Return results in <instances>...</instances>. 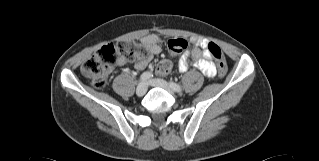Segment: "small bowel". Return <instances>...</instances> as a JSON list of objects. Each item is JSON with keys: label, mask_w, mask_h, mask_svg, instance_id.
Masks as SVG:
<instances>
[{"label": "small bowel", "mask_w": 319, "mask_h": 161, "mask_svg": "<svg viewBox=\"0 0 319 161\" xmlns=\"http://www.w3.org/2000/svg\"><path fill=\"white\" fill-rule=\"evenodd\" d=\"M192 43L195 45L191 53H185L182 55L178 62V70L184 73L189 68L190 60H192L193 66L201 71L205 76L209 78L215 77L217 73L216 65L211 61V54L208 51V42L204 39L192 38ZM160 37L155 34L147 35L139 41V45L145 50V57L139 59L135 66L138 69H144L147 67L149 60L159 53ZM124 58L117 60V66H123L126 64ZM159 63L156 64L155 70L159 75H166L168 71H163L158 68Z\"/></svg>", "instance_id": "small-bowel-1"}]
</instances>
